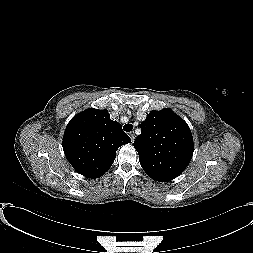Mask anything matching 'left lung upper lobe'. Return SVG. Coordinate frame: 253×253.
Wrapping results in <instances>:
<instances>
[{
	"instance_id": "left-lung-upper-lobe-1",
	"label": "left lung upper lobe",
	"mask_w": 253,
	"mask_h": 253,
	"mask_svg": "<svg viewBox=\"0 0 253 253\" xmlns=\"http://www.w3.org/2000/svg\"><path fill=\"white\" fill-rule=\"evenodd\" d=\"M134 147L144 171L159 182L179 176L193 155V137L187 123L170 109L151 111L141 123Z\"/></svg>"
}]
</instances>
